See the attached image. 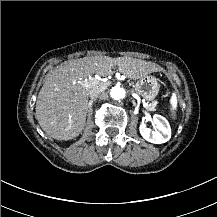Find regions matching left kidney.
<instances>
[{
  "label": "left kidney",
  "instance_id": "obj_1",
  "mask_svg": "<svg viewBox=\"0 0 217 217\" xmlns=\"http://www.w3.org/2000/svg\"><path fill=\"white\" fill-rule=\"evenodd\" d=\"M153 122L156 130L146 126L144 122L140 124L139 130L141 136L148 142L161 144L167 142L171 137V128L165 117L155 114Z\"/></svg>",
  "mask_w": 217,
  "mask_h": 217
}]
</instances>
